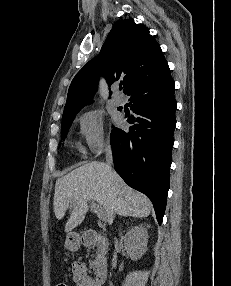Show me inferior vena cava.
Instances as JSON below:
<instances>
[{
    "label": "inferior vena cava",
    "mask_w": 231,
    "mask_h": 286,
    "mask_svg": "<svg viewBox=\"0 0 231 286\" xmlns=\"http://www.w3.org/2000/svg\"><path fill=\"white\" fill-rule=\"evenodd\" d=\"M105 152H106L107 167H108L109 171H111L112 170V164H113V157H112V151H111L110 144H106Z\"/></svg>",
    "instance_id": "inferior-vena-cava-1"
}]
</instances>
